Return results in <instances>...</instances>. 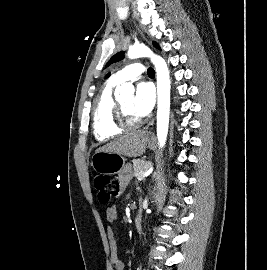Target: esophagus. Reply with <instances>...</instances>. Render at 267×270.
I'll list each match as a JSON object with an SVG mask.
<instances>
[{
    "mask_svg": "<svg viewBox=\"0 0 267 270\" xmlns=\"http://www.w3.org/2000/svg\"><path fill=\"white\" fill-rule=\"evenodd\" d=\"M136 28L138 30V33L141 35V37L145 39L143 31L137 25H136Z\"/></svg>",
    "mask_w": 267,
    "mask_h": 270,
    "instance_id": "obj_1",
    "label": "esophagus"
}]
</instances>
